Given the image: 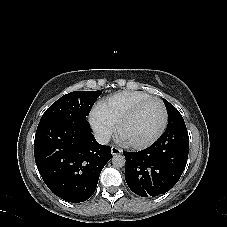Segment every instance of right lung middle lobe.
I'll list each match as a JSON object with an SVG mask.
<instances>
[{"label":"right lung middle lobe","instance_id":"1","mask_svg":"<svg viewBox=\"0 0 227 227\" xmlns=\"http://www.w3.org/2000/svg\"><path fill=\"white\" fill-rule=\"evenodd\" d=\"M101 93V91H74L66 94L45 111L40 121H85Z\"/></svg>","mask_w":227,"mask_h":227}]
</instances>
